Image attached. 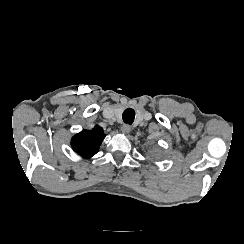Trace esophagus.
<instances>
[{"label": "esophagus", "instance_id": "esophagus-1", "mask_svg": "<svg viewBox=\"0 0 244 244\" xmlns=\"http://www.w3.org/2000/svg\"><path fill=\"white\" fill-rule=\"evenodd\" d=\"M121 131L124 133V134H128L130 131H131V127L127 124H124L121 126Z\"/></svg>", "mask_w": 244, "mask_h": 244}]
</instances>
